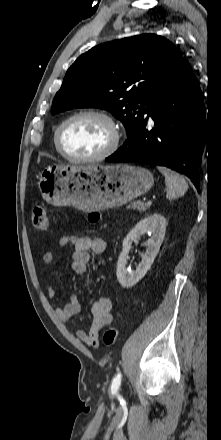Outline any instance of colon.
I'll use <instances>...</instances> for the list:
<instances>
[{
    "label": "colon",
    "mask_w": 221,
    "mask_h": 440,
    "mask_svg": "<svg viewBox=\"0 0 221 440\" xmlns=\"http://www.w3.org/2000/svg\"><path fill=\"white\" fill-rule=\"evenodd\" d=\"M89 221L92 223H97L101 219V214L99 212H90ZM32 225L37 230L45 231L49 228V218L45 209L41 206H36L32 212ZM119 336L118 326H111L103 336V343L108 346H114L117 342Z\"/></svg>",
    "instance_id": "colon-1"
}]
</instances>
